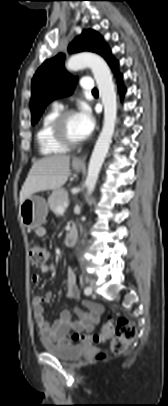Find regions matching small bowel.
Wrapping results in <instances>:
<instances>
[{
	"mask_svg": "<svg viewBox=\"0 0 168 406\" xmlns=\"http://www.w3.org/2000/svg\"><path fill=\"white\" fill-rule=\"evenodd\" d=\"M46 233L47 230L45 227H39L36 230L38 237H44ZM52 269L53 267L51 265H45L41 268V271L48 273L52 271ZM31 279L34 283H38L41 280V275L33 274ZM52 296V292L47 291L43 295L35 296L32 300L34 320L46 340L59 344H68L66 335L69 331L90 332L99 322L102 307L95 302L82 300L81 305L85 310L76 309L78 315L76 320H72L70 312L67 309H63L54 323L49 324L45 316L44 303L50 302ZM67 296L72 299H79L76 276L70 269L67 275Z\"/></svg>",
	"mask_w": 168,
	"mask_h": 406,
	"instance_id": "1",
	"label": "small bowel"
}]
</instances>
